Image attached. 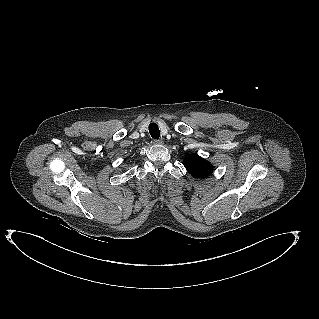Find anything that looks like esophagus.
<instances>
[{
  "mask_svg": "<svg viewBox=\"0 0 319 319\" xmlns=\"http://www.w3.org/2000/svg\"><path fill=\"white\" fill-rule=\"evenodd\" d=\"M153 143L160 145V144H163V141H162L161 139H159V140L155 139V140L153 141Z\"/></svg>",
  "mask_w": 319,
  "mask_h": 319,
  "instance_id": "1",
  "label": "esophagus"
}]
</instances>
